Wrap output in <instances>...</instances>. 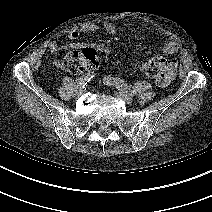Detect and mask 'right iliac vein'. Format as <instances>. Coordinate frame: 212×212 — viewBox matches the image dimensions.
Here are the masks:
<instances>
[{
    "instance_id": "63e3f726",
    "label": "right iliac vein",
    "mask_w": 212,
    "mask_h": 212,
    "mask_svg": "<svg viewBox=\"0 0 212 212\" xmlns=\"http://www.w3.org/2000/svg\"><path fill=\"white\" fill-rule=\"evenodd\" d=\"M82 93H83V90L80 89V90H78V91L76 92L75 96H76V97H79V96L82 95Z\"/></svg>"
}]
</instances>
